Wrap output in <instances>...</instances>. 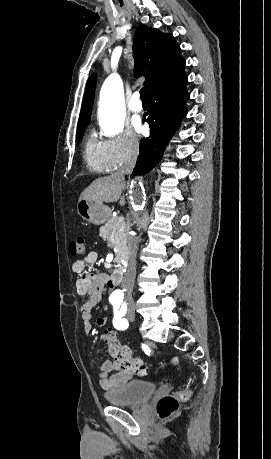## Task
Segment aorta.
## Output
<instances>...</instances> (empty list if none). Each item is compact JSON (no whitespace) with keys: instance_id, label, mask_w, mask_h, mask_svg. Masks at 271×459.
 <instances>
[{"instance_id":"762f6f07","label":"aorta","mask_w":271,"mask_h":459,"mask_svg":"<svg viewBox=\"0 0 271 459\" xmlns=\"http://www.w3.org/2000/svg\"><path fill=\"white\" fill-rule=\"evenodd\" d=\"M125 103L123 83L119 75L112 74L100 91L99 121L101 128L110 135L120 133L124 127ZM145 190L142 181L134 182L130 195L132 215L137 217L145 205Z\"/></svg>"}]
</instances>
